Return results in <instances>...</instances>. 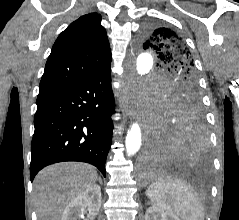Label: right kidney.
Wrapping results in <instances>:
<instances>
[{
  "mask_svg": "<svg viewBox=\"0 0 239 220\" xmlns=\"http://www.w3.org/2000/svg\"><path fill=\"white\" fill-rule=\"evenodd\" d=\"M101 206V189L98 185H91L78 194L64 209L61 220H77L88 209V217L93 220Z\"/></svg>",
  "mask_w": 239,
  "mask_h": 220,
  "instance_id": "1",
  "label": "right kidney"
}]
</instances>
